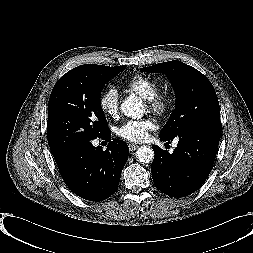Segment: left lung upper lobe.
Masks as SVG:
<instances>
[{"mask_svg": "<svg viewBox=\"0 0 253 253\" xmlns=\"http://www.w3.org/2000/svg\"><path fill=\"white\" fill-rule=\"evenodd\" d=\"M169 76L176 94V108L160 136L173 139L193 127L220 130L219 102L211 82L197 69L181 61L155 64L140 69Z\"/></svg>", "mask_w": 253, "mask_h": 253, "instance_id": "left-lung-upper-lobe-1", "label": "left lung upper lobe"}]
</instances>
